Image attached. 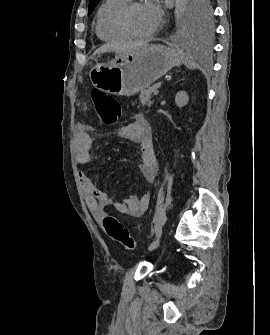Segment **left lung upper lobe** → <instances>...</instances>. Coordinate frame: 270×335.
Wrapping results in <instances>:
<instances>
[{
	"mask_svg": "<svg viewBox=\"0 0 270 335\" xmlns=\"http://www.w3.org/2000/svg\"><path fill=\"white\" fill-rule=\"evenodd\" d=\"M101 0H90L88 15ZM210 0H187L185 3L187 21L191 29L199 33H209L212 29V8Z\"/></svg>",
	"mask_w": 270,
	"mask_h": 335,
	"instance_id": "left-lung-upper-lobe-1",
	"label": "left lung upper lobe"
}]
</instances>
